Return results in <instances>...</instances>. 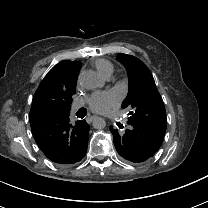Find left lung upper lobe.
<instances>
[{"mask_svg":"<svg viewBox=\"0 0 208 208\" xmlns=\"http://www.w3.org/2000/svg\"><path fill=\"white\" fill-rule=\"evenodd\" d=\"M117 59L128 73L129 91L122 103V108L130 109L128 120L164 135L165 107L151 72L142 61L132 55L119 54Z\"/></svg>","mask_w":208,"mask_h":208,"instance_id":"left-lung-upper-lobe-1","label":"left lung upper lobe"}]
</instances>
